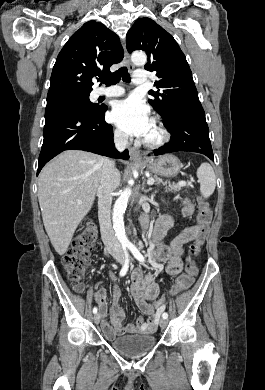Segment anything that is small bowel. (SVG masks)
Instances as JSON below:
<instances>
[{"label": "small bowel", "instance_id": "obj_1", "mask_svg": "<svg viewBox=\"0 0 265 390\" xmlns=\"http://www.w3.org/2000/svg\"><path fill=\"white\" fill-rule=\"evenodd\" d=\"M181 202L184 214L190 216L193 213V204L188 198H183ZM171 224L170 216H163L157 221L153 231L155 246L152 251V259L155 263H166V271L170 275H178L182 271L184 261L191 262V260L185 257L183 246L198 238H202L205 225L198 223L185 228L170 243H165L163 239ZM112 279L115 280L113 275ZM159 293L160 288L155 282L153 274H144L140 270H135L131 276V295L140 312L146 317H140L135 323L124 324L126 312L118 304L120 296L118 286L114 284L109 301L107 300L106 289H99L94 298L102 310V329L107 338L112 339L117 335L127 333L147 334L155 331L158 325L159 314L154 308L152 301L159 296ZM108 316L110 321L107 320Z\"/></svg>", "mask_w": 265, "mask_h": 390}]
</instances>
